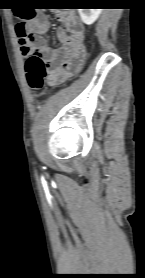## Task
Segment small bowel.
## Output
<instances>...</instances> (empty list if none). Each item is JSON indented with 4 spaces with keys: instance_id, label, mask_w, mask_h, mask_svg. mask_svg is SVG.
<instances>
[{
    "instance_id": "small-bowel-1",
    "label": "small bowel",
    "mask_w": 145,
    "mask_h": 278,
    "mask_svg": "<svg viewBox=\"0 0 145 278\" xmlns=\"http://www.w3.org/2000/svg\"><path fill=\"white\" fill-rule=\"evenodd\" d=\"M16 15L21 17L18 11ZM57 16L63 24V27L58 28L56 32L60 44L58 49H52L43 36L50 29V22L46 16H36L25 23L35 37L30 53L41 55L49 63L50 82L60 78L65 66L74 67L79 71L86 60V51L83 46V23L74 12H59ZM23 54L28 55L26 52Z\"/></svg>"
}]
</instances>
